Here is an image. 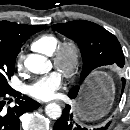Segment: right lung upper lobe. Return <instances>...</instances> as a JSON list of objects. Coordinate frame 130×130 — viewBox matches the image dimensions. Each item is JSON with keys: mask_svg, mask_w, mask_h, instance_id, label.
<instances>
[{"mask_svg": "<svg viewBox=\"0 0 130 130\" xmlns=\"http://www.w3.org/2000/svg\"><path fill=\"white\" fill-rule=\"evenodd\" d=\"M35 27L9 21H0V41L10 43L14 46H22V43L26 41L25 38L28 33Z\"/></svg>", "mask_w": 130, "mask_h": 130, "instance_id": "right-lung-upper-lobe-1", "label": "right lung upper lobe"}]
</instances>
